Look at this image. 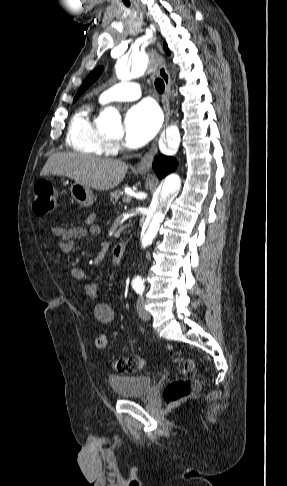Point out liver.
<instances>
[{
  "label": "liver",
  "mask_w": 287,
  "mask_h": 486,
  "mask_svg": "<svg viewBox=\"0 0 287 486\" xmlns=\"http://www.w3.org/2000/svg\"><path fill=\"white\" fill-rule=\"evenodd\" d=\"M127 170L128 164L120 160L63 152L51 155L40 175L65 176L87 187L106 191L119 185Z\"/></svg>",
  "instance_id": "obj_1"
}]
</instances>
